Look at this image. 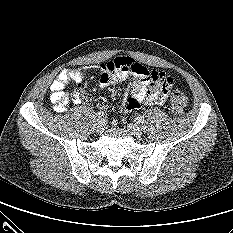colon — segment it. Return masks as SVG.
I'll list each match as a JSON object with an SVG mask.
<instances>
[{
  "label": "colon",
  "instance_id": "5ec220e1",
  "mask_svg": "<svg viewBox=\"0 0 233 233\" xmlns=\"http://www.w3.org/2000/svg\"><path fill=\"white\" fill-rule=\"evenodd\" d=\"M137 73L142 76H148L150 74L149 70L145 67H138L136 69ZM187 106V98L180 91H174L170 98V108L176 114H181L184 112Z\"/></svg>",
  "mask_w": 233,
  "mask_h": 233
}]
</instances>
